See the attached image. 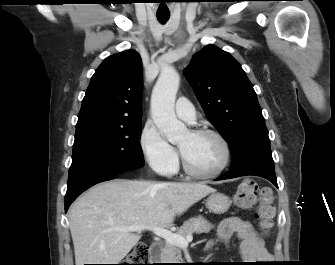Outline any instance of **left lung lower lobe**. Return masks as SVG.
I'll return each mask as SVG.
<instances>
[{"label": "left lung lower lobe", "instance_id": "left-lung-lower-lobe-1", "mask_svg": "<svg viewBox=\"0 0 335 265\" xmlns=\"http://www.w3.org/2000/svg\"><path fill=\"white\" fill-rule=\"evenodd\" d=\"M245 175L261 176L271 181L278 188L275 172H271V171H268L262 168H245L242 170H231L230 169L228 173L219 177L218 180L231 179V178L245 176Z\"/></svg>", "mask_w": 335, "mask_h": 265}]
</instances>
